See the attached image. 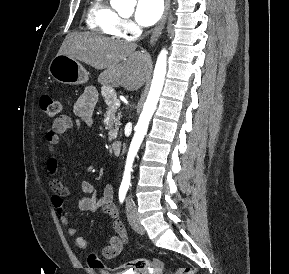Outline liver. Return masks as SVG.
Returning <instances> with one entry per match:
<instances>
[{
    "label": "liver",
    "instance_id": "1",
    "mask_svg": "<svg viewBox=\"0 0 289 274\" xmlns=\"http://www.w3.org/2000/svg\"><path fill=\"white\" fill-rule=\"evenodd\" d=\"M136 44L101 37L94 33H69L58 55H67L97 70H104L98 80L103 85L122 86L132 91L140 88L148 57L136 51Z\"/></svg>",
    "mask_w": 289,
    "mask_h": 274
}]
</instances>
